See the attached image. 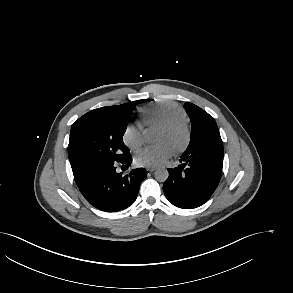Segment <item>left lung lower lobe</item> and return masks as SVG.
<instances>
[{
	"label": "left lung lower lobe",
	"mask_w": 293,
	"mask_h": 293,
	"mask_svg": "<svg viewBox=\"0 0 293 293\" xmlns=\"http://www.w3.org/2000/svg\"><path fill=\"white\" fill-rule=\"evenodd\" d=\"M180 162L179 167L168 169L169 177L163 185L164 194L179 208L199 207L211 197L219 184L223 156L200 150L182 155Z\"/></svg>",
	"instance_id": "obj_1"
}]
</instances>
